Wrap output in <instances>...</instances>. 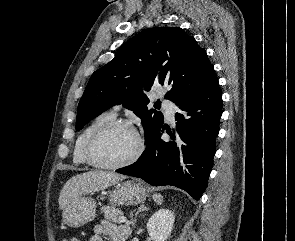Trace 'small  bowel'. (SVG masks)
<instances>
[{
    "label": "small bowel",
    "instance_id": "1",
    "mask_svg": "<svg viewBox=\"0 0 295 241\" xmlns=\"http://www.w3.org/2000/svg\"><path fill=\"white\" fill-rule=\"evenodd\" d=\"M129 235V227L118 226L109 221H103L94 226L93 234L89 238V241H103L105 237H108L110 241H126Z\"/></svg>",
    "mask_w": 295,
    "mask_h": 241
}]
</instances>
